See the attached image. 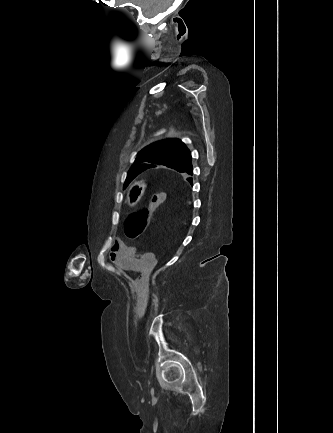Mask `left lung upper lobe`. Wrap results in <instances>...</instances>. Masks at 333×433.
<instances>
[{
	"label": "left lung upper lobe",
	"mask_w": 333,
	"mask_h": 433,
	"mask_svg": "<svg viewBox=\"0 0 333 433\" xmlns=\"http://www.w3.org/2000/svg\"><path fill=\"white\" fill-rule=\"evenodd\" d=\"M145 165H163L178 172L191 168V153L180 140H163L142 149L130 168L124 187L144 170Z\"/></svg>",
	"instance_id": "left-lung-upper-lobe-1"
}]
</instances>
